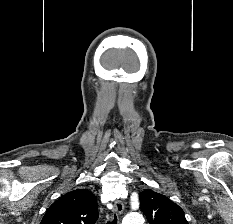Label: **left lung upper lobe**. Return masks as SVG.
I'll list each match as a JSON object with an SVG mask.
<instances>
[{
	"label": "left lung upper lobe",
	"mask_w": 233,
	"mask_h": 224,
	"mask_svg": "<svg viewBox=\"0 0 233 224\" xmlns=\"http://www.w3.org/2000/svg\"><path fill=\"white\" fill-rule=\"evenodd\" d=\"M139 198L140 209L150 224H188L182 208L166 196L145 189Z\"/></svg>",
	"instance_id": "left-lung-upper-lobe-1"
}]
</instances>
